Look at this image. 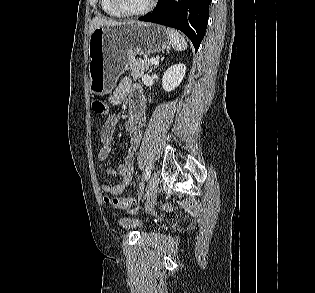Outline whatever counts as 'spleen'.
Returning <instances> with one entry per match:
<instances>
[{
  "instance_id": "obj_1",
  "label": "spleen",
  "mask_w": 315,
  "mask_h": 293,
  "mask_svg": "<svg viewBox=\"0 0 315 293\" xmlns=\"http://www.w3.org/2000/svg\"><path fill=\"white\" fill-rule=\"evenodd\" d=\"M166 32L170 38V44L176 51H184L187 49L185 38L175 29L167 28Z\"/></svg>"
}]
</instances>
